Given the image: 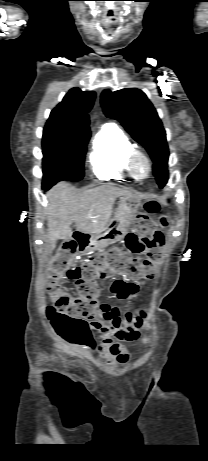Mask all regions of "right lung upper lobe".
I'll use <instances>...</instances> for the list:
<instances>
[{
  "mask_svg": "<svg viewBox=\"0 0 208 461\" xmlns=\"http://www.w3.org/2000/svg\"><path fill=\"white\" fill-rule=\"evenodd\" d=\"M95 92L72 88L62 102L51 111L47 127L71 134H90L88 112L93 106Z\"/></svg>",
  "mask_w": 208,
  "mask_h": 461,
  "instance_id": "obj_1",
  "label": "right lung upper lobe"
}]
</instances>
